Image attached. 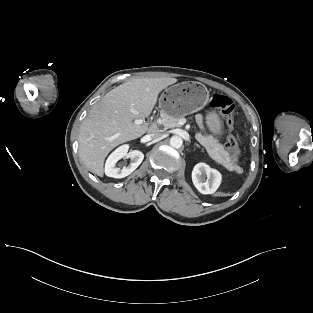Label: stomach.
Instances as JSON below:
<instances>
[{
	"label": "stomach",
	"instance_id": "obj_1",
	"mask_svg": "<svg viewBox=\"0 0 313 313\" xmlns=\"http://www.w3.org/2000/svg\"><path fill=\"white\" fill-rule=\"evenodd\" d=\"M208 100L209 92L205 85L199 82H181L165 89L159 98V107L165 114L180 117L201 110ZM206 122L213 135L222 134V121L216 112H208Z\"/></svg>",
	"mask_w": 313,
	"mask_h": 313
}]
</instances>
